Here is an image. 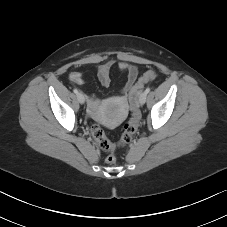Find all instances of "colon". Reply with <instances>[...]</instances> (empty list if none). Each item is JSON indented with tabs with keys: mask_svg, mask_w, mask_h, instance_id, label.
<instances>
[{
	"mask_svg": "<svg viewBox=\"0 0 227 227\" xmlns=\"http://www.w3.org/2000/svg\"><path fill=\"white\" fill-rule=\"evenodd\" d=\"M155 78L156 73L154 71L149 70L145 72L129 92V102L131 104L132 114L129 121L125 123L123 127V132L119 143L120 145L122 146L127 145L128 143L131 142L132 138L134 137L140 121V113L136 105L137 95L146 83L153 81ZM91 134L95 141L97 142V144L99 145V147L109 152L108 156L106 157V162L109 164H115L116 155L114 154V149L116 146L109 141L103 129L99 125L93 124L91 126Z\"/></svg>",
	"mask_w": 227,
	"mask_h": 227,
	"instance_id": "5ec220e1",
	"label": "colon"
}]
</instances>
